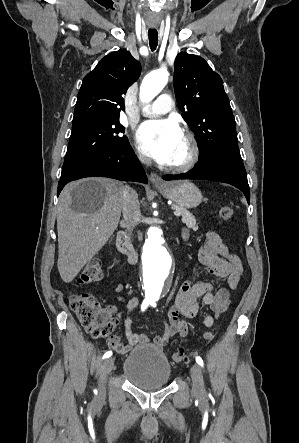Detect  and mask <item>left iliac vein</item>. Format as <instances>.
Segmentation results:
<instances>
[{
	"label": "left iliac vein",
	"instance_id": "obj_1",
	"mask_svg": "<svg viewBox=\"0 0 299 443\" xmlns=\"http://www.w3.org/2000/svg\"><path fill=\"white\" fill-rule=\"evenodd\" d=\"M190 375L192 378V393L194 395L204 396L205 387H204L202 371L197 363H194L191 366Z\"/></svg>",
	"mask_w": 299,
	"mask_h": 443
}]
</instances>
